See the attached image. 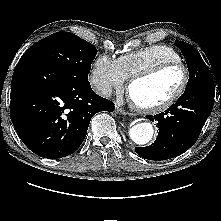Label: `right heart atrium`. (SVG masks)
<instances>
[{
    "label": "right heart atrium",
    "instance_id": "right-heart-atrium-1",
    "mask_svg": "<svg viewBox=\"0 0 221 221\" xmlns=\"http://www.w3.org/2000/svg\"><path fill=\"white\" fill-rule=\"evenodd\" d=\"M89 81L96 92L109 95L114 91H121L126 78L121 72L117 60L102 54L97 56L92 63Z\"/></svg>",
    "mask_w": 221,
    "mask_h": 221
}]
</instances>
